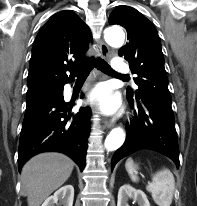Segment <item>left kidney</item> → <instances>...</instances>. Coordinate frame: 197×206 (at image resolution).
<instances>
[{"mask_svg": "<svg viewBox=\"0 0 197 206\" xmlns=\"http://www.w3.org/2000/svg\"><path fill=\"white\" fill-rule=\"evenodd\" d=\"M131 198L138 203L139 206H150L147 196L142 190H137L130 185H123L118 192L117 206H129L127 201Z\"/></svg>", "mask_w": 197, "mask_h": 206, "instance_id": "5707ae66", "label": "left kidney"}]
</instances>
